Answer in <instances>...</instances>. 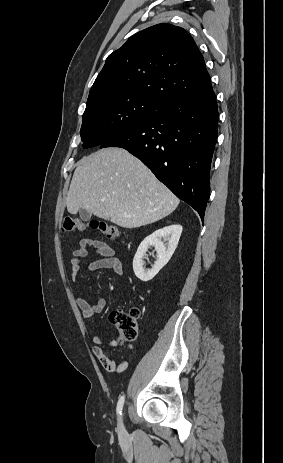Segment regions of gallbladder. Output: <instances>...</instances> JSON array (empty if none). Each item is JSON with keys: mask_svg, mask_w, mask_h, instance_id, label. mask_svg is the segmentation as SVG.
<instances>
[{"mask_svg": "<svg viewBox=\"0 0 283 463\" xmlns=\"http://www.w3.org/2000/svg\"><path fill=\"white\" fill-rule=\"evenodd\" d=\"M79 215H80V218H81L83 221H88V220H90V218H91V213L88 212V211L85 210V209H80V210H79Z\"/></svg>", "mask_w": 283, "mask_h": 463, "instance_id": "obj_1", "label": "gallbladder"}]
</instances>
